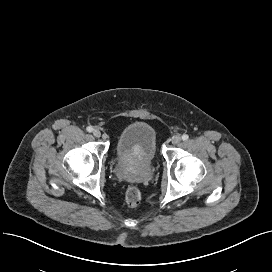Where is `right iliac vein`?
<instances>
[{"label":"right iliac vein","mask_w":272,"mask_h":272,"mask_svg":"<svg viewBox=\"0 0 272 272\" xmlns=\"http://www.w3.org/2000/svg\"><path fill=\"white\" fill-rule=\"evenodd\" d=\"M93 135L96 137V138H99L101 136V131L99 129H94L93 130Z\"/></svg>","instance_id":"63e3f726"}]
</instances>
